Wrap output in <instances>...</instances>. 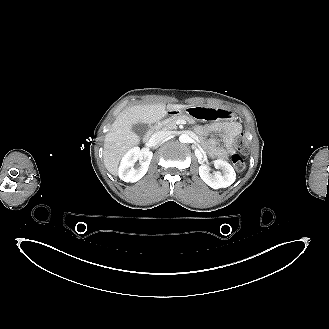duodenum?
I'll return each mask as SVG.
<instances>
[{"label": "duodenum", "mask_w": 329, "mask_h": 329, "mask_svg": "<svg viewBox=\"0 0 329 329\" xmlns=\"http://www.w3.org/2000/svg\"><path fill=\"white\" fill-rule=\"evenodd\" d=\"M168 114H169V115H173L174 112H173V111H170V112H168ZM150 137H151V133L148 132V133L144 136V141H145V142L149 141Z\"/></svg>", "instance_id": "obj_1"}]
</instances>
